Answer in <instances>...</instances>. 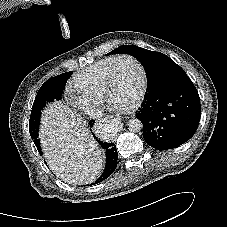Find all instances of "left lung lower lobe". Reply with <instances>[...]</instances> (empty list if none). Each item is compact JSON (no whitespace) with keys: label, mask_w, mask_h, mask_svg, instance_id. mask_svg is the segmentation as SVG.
<instances>
[{"label":"left lung lower lobe","mask_w":227,"mask_h":227,"mask_svg":"<svg viewBox=\"0 0 227 227\" xmlns=\"http://www.w3.org/2000/svg\"><path fill=\"white\" fill-rule=\"evenodd\" d=\"M136 117L142 121L145 142L156 149L176 148L195 133L200 98L190 78L182 76L150 91Z\"/></svg>","instance_id":"left-lung-lower-lobe-1"}]
</instances>
